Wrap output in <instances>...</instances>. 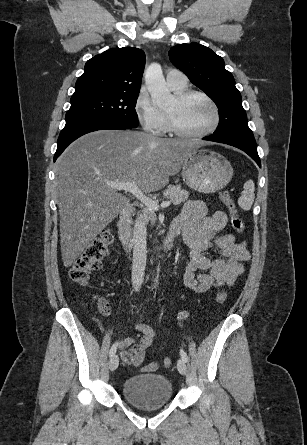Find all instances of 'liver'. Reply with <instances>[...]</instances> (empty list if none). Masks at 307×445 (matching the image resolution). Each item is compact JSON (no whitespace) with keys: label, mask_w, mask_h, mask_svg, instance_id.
<instances>
[{"label":"liver","mask_w":307,"mask_h":445,"mask_svg":"<svg viewBox=\"0 0 307 445\" xmlns=\"http://www.w3.org/2000/svg\"><path fill=\"white\" fill-rule=\"evenodd\" d=\"M200 144L137 130H95L77 138L57 160L56 194L64 267H71L130 198L107 182L160 190Z\"/></svg>","instance_id":"1"}]
</instances>
